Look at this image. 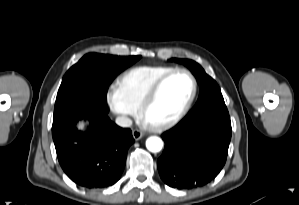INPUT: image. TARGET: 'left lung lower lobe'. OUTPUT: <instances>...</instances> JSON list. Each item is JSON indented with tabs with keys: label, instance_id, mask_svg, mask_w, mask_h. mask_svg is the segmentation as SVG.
<instances>
[{
	"label": "left lung lower lobe",
	"instance_id": "left-lung-lower-lobe-1",
	"mask_svg": "<svg viewBox=\"0 0 299 205\" xmlns=\"http://www.w3.org/2000/svg\"><path fill=\"white\" fill-rule=\"evenodd\" d=\"M226 107L187 115L163 134L165 149L157 161L161 179L170 187L192 189L213 180L223 168L231 140Z\"/></svg>",
	"mask_w": 299,
	"mask_h": 205
}]
</instances>
